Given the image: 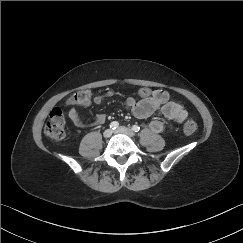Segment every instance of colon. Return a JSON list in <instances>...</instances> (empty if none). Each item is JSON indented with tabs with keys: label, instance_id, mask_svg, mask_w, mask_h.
Here are the masks:
<instances>
[{
	"label": "colon",
	"instance_id": "5ec220e1",
	"mask_svg": "<svg viewBox=\"0 0 243 243\" xmlns=\"http://www.w3.org/2000/svg\"><path fill=\"white\" fill-rule=\"evenodd\" d=\"M91 93L89 89H80L70 96L67 101V106H85L90 103ZM197 123L193 120H188L183 126L186 134L190 135L196 132ZM44 133L52 140L60 141L66 135V120L62 110L58 107L54 108L49 116V120L44 126Z\"/></svg>",
	"mask_w": 243,
	"mask_h": 243
}]
</instances>
